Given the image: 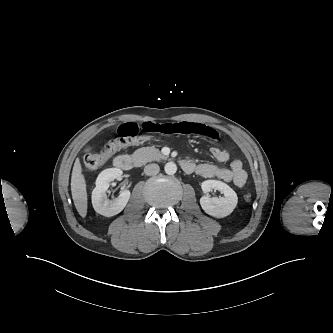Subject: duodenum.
I'll list each match as a JSON object with an SVG mask.
<instances>
[{
    "instance_id": "obj_1",
    "label": "duodenum",
    "mask_w": 333,
    "mask_h": 333,
    "mask_svg": "<svg viewBox=\"0 0 333 333\" xmlns=\"http://www.w3.org/2000/svg\"><path fill=\"white\" fill-rule=\"evenodd\" d=\"M138 160L135 157H132L130 155H120L115 158L114 160V165L122 170H129L133 168L135 165L138 164ZM182 169L186 172L189 173L193 169V163L189 160H181L180 162Z\"/></svg>"
}]
</instances>
